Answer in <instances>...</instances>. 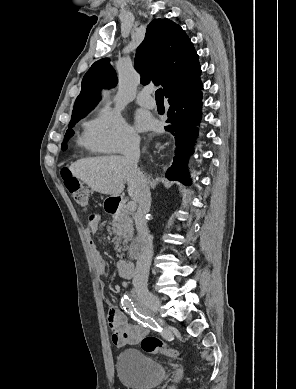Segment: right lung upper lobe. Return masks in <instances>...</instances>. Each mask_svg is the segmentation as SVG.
I'll return each mask as SVG.
<instances>
[{
    "label": "right lung upper lobe",
    "instance_id": "cb5924a9",
    "mask_svg": "<svg viewBox=\"0 0 296 389\" xmlns=\"http://www.w3.org/2000/svg\"><path fill=\"white\" fill-rule=\"evenodd\" d=\"M135 68L141 83L161 84L166 95L173 87L201 84L198 55L183 29L169 19H155L147 27L145 39L137 48ZM117 77L109 59L96 61L84 75L73 112L94 107L100 100V88H112Z\"/></svg>",
    "mask_w": 296,
    "mask_h": 389
}]
</instances>
